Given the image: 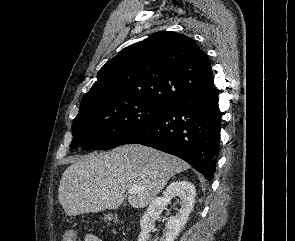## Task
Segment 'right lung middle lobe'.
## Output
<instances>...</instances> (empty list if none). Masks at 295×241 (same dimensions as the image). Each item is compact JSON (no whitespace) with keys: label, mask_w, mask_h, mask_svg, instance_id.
Here are the masks:
<instances>
[{"label":"right lung middle lobe","mask_w":295,"mask_h":241,"mask_svg":"<svg viewBox=\"0 0 295 241\" xmlns=\"http://www.w3.org/2000/svg\"><path fill=\"white\" fill-rule=\"evenodd\" d=\"M163 107L122 97L114 91H103L83 97L73 121L71 148L109 150L120 145L132 131L151 121Z\"/></svg>","instance_id":"1"}]
</instances>
